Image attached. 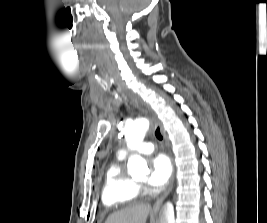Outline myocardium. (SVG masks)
<instances>
[{
    "mask_svg": "<svg viewBox=\"0 0 267 223\" xmlns=\"http://www.w3.org/2000/svg\"><path fill=\"white\" fill-rule=\"evenodd\" d=\"M135 183V182H134ZM135 185L137 186V187H140L141 186V183H135Z\"/></svg>",
    "mask_w": 267,
    "mask_h": 223,
    "instance_id": "f54148a6",
    "label": "myocardium"
}]
</instances>
